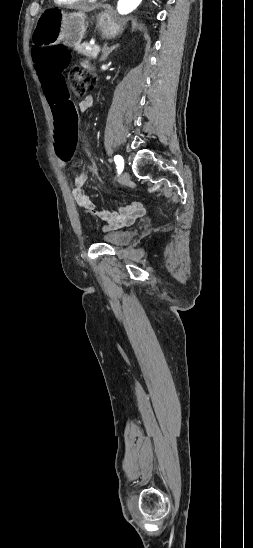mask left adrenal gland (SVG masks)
<instances>
[{"mask_svg":"<svg viewBox=\"0 0 253 548\" xmlns=\"http://www.w3.org/2000/svg\"><path fill=\"white\" fill-rule=\"evenodd\" d=\"M119 47V44H116V45H113L111 47H108V44H104L103 48H102V57L100 59V61H105L107 59V57L109 56V54L117 49Z\"/></svg>","mask_w":253,"mask_h":548,"instance_id":"1","label":"left adrenal gland"}]
</instances>
